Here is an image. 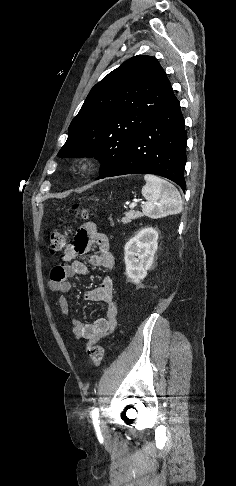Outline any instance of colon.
<instances>
[{"instance_id": "5ec220e1", "label": "colon", "mask_w": 236, "mask_h": 486, "mask_svg": "<svg viewBox=\"0 0 236 486\" xmlns=\"http://www.w3.org/2000/svg\"><path fill=\"white\" fill-rule=\"evenodd\" d=\"M73 210H75L82 218H88L92 211L87 208H81L79 205H74ZM70 228L64 227L61 230L53 231L49 236V248L52 253H57L63 250L70 237ZM88 355L96 367H99L104 358V350L101 345H93L88 349Z\"/></svg>"}]
</instances>
